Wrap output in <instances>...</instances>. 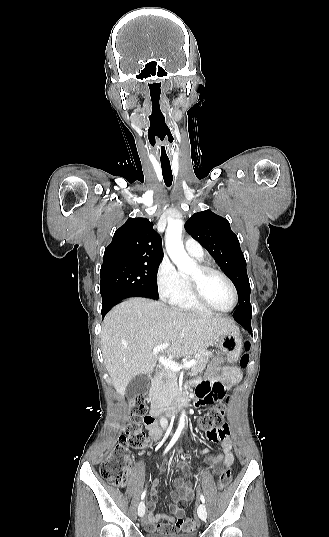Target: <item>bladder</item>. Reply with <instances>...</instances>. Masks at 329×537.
Instances as JSON below:
<instances>
[{
  "mask_svg": "<svg viewBox=\"0 0 329 537\" xmlns=\"http://www.w3.org/2000/svg\"><path fill=\"white\" fill-rule=\"evenodd\" d=\"M145 537H197L195 533H158V532H148Z\"/></svg>",
  "mask_w": 329,
  "mask_h": 537,
  "instance_id": "31cf9c89",
  "label": "bladder"
}]
</instances>
